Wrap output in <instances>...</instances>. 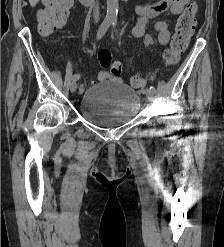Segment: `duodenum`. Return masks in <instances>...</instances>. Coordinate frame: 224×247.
<instances>
[{
  "label": "duodenum",
  "instance_id": "410a0bca",
  "mask_svg": "<svg viewBox=\"0 0 224 247\" xmlns=\"http://www.w3.org/2000/svg\"><path fill=\"white\" fill-rule=\"evenodd\" d=\"M79 1L83 6H89L92 3V0H79Z\"/></svg>",
  "mask_w": 224,
  "mask_h": 247
}]
</instances>
